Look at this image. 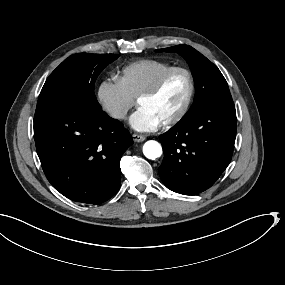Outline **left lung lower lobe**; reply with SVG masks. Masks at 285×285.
Wrapping results in <instances>:
<instances>
[{
	"mask_svg": "<svg viewBox=\"0 0 285 285\" xmlns=\"http://www.w3.org/2000/svg\"><path fill=\"white\" fill-rule=\"evenodd\" d=\"M236 122L234 104H212L160 135L164 159L158 171L164 185L184 195L210 188L231 161Z\"/></svg>",
	"mask_w": 285,
	"mask_h": 285,
	"instance_id": "obj_1",
	"label": "left lung lower lobe"
}]
</instances>
